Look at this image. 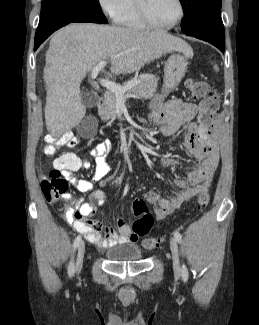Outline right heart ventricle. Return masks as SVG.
Returning <instances> with one entry per match:
<instances>
[{
	"instance_id": "obj_1",
	"label": "right heart ventricle",
	"mask_w": 259,
	"mask_h": 325,
	"mask_svg": "<svg viewBox=\"0 0 259 325\" xmlns=\"http://www.w3.org/2000/svg\"><path fill=\"white\" fill-rule=\"evenodd\" d=\"M116 21L118 24L130 28L139 29L145 27V24L139 16L136 0H129L126 9L122 12Z\"/></svg>"
}]
</instances>
